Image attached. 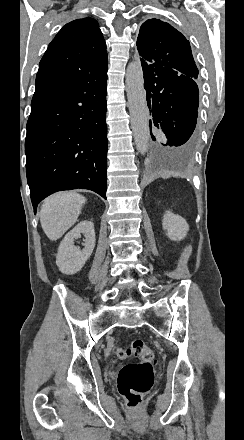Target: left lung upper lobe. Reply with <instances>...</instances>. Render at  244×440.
<instances>
[{
    "label": "left lung upper lobe",
    "mask_w": 244,
    "mask_h": 440,
    "mask_svg": "<svg viewBox=\"0 0 244 440\" xmlns=\"http://www.w3.org/2000/svg\"><path fill=\"white\" fill-rule=\"evenodd\" d=\"M137 49L142 67L169 68L179 75L198 78L189 41L177 29L159 19H148L139 31Z\"/></svg>",
    "instance_id": "left-lung-upper-lobe-1"
}]
</instances>
